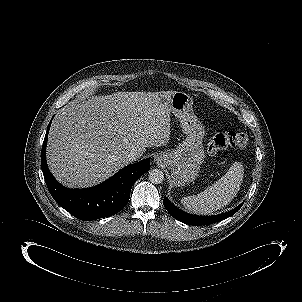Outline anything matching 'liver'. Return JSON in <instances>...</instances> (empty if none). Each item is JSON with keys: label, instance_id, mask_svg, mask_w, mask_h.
Instances as JSON below:
<instances>
[{"label": "liver", "instance_id": "obj_1", "mask_svg": "<svg viewBox=\"0 0 302 302\" xmlns=\"http://www.w3.org/2000/svg\"><path fill=\"white\" fill-rule=\"evenodd\" d=\"M174 93L116 92L69 103L51 124L50 171L67 187H91L125 167L127 152L143 155L148 147L165 146Z\"/></svg>", "mask_w": 302, "mask_h": 302}]
</instances>
